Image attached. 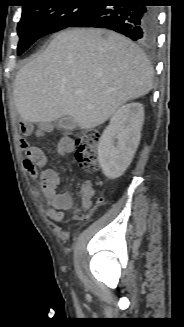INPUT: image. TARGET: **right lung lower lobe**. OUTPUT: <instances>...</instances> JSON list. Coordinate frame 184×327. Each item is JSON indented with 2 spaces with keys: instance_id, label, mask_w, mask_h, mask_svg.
<instances>
[{
  "instance_id": "98d812e1",
  "label": "right lung lower lobe",
  "mask_w": 184,
  "mask_h": 327,
  "mask_svg": "<svg viewBox=\"0 0 184 327\" xmlns=\"http://www.w3.org/2000/svg\"><path fill=\"white\" fill-rule=\"evenodd\" d=\"M121 3L106 6L100 1L71 27L107 28L142 44H153L158 29L156 9L143 6L145 0H124Z\"/></svg>"
}]
</instances>
